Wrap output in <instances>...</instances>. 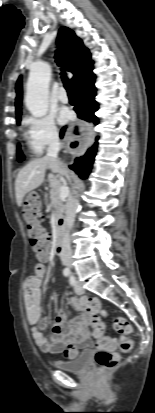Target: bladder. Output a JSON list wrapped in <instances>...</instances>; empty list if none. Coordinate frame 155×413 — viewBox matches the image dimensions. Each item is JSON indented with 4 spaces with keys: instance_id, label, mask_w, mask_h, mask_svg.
I'll list each match as a JSON object with an SVG mask.
<instances>
[{
    "instance_id": "1",
    "label": "bladder",
    "mask_w": 155,
    "mask_h": 413,
    "mask_svg": "<svg viewBox=\"0 0 155 413\" xmlns=\"http://www.w3.org/2000/svg\"><path fill=\"white\" fill-rule=\"evenodd\" d=\"M90 350H84L70 360H58L54 362V367L60 370L83 374L89 367Z\"/></svg>"
}]
</instances>
